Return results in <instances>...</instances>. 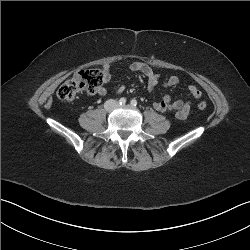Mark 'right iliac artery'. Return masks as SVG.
I'll list each match as a JSON object with an SVG mask.
<instances>
[{"label":"right iliac artery","instance_id":"right-iliac-artery-1","mask_svg":"<svg viewBox=\"0 0 250 250\" xmlns=\"http://www.w3.org/2000/svg\"><path fill=\"white\" fill-rule=\"evenodd\" d=\"M125 103H126V99H125V98H121V99L119 100V104H120V105H125Z\"/></svg>","mask_w":250,"mask_h":250}]
</instances>
